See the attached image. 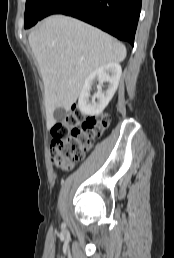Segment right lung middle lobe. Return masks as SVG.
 <instances>
[{"label": "right lung middle lobe", "mask_w": 174, "mask_h": 258, "mask_svg": "<svg viewBox=\"0 0 174 258\" xmlns=\"http://www.w3.org/2000/svg\"><path fill=\"white\" fill-rule=\"evenodd\" d=\"M54 0H27L24 27L30 28L43 19V13Z\"/></svg>", "instance_id": "1"}]
</instances>
